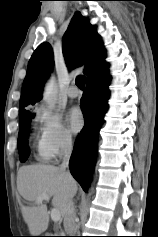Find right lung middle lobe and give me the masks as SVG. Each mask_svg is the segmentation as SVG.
<instances>
[{
  "label": "right lung middle lobe",
  "mask_w": 158,
  "mask_h": 237,
  "mask_svg": "<svg viewBox=\"0 0 158 237\" xmlns=\"http://www.w3.org/2000/svg\"><path fill=\"white\" fill-rule=\"evenodd\" d=\"M33 116H26L20 118V129L18 135V148H19V158L21 162H24L29 156L28 144H26L28 139L29 123Z\"/></svg>",
  "instance_id": "1"
}]
</instances>
